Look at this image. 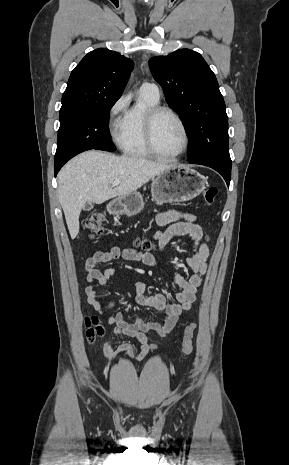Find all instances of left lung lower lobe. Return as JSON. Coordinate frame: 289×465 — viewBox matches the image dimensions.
Here are the masks:
<instances>
[{"instance_id":"obj_1","label":"left lung lower lobe","mask_w":289,"mask_h":465,"mask_svg":"<svg viewBox=\"0 0 289 465\" xmlns=\"http://www.w3.org/2000/svg\"><path fill=\"white\" fill-rule=\"evenodd\" d=\"M189 163L192 164H201L208 167L213 168L218 173H220L223 178L225 179L227 185L229 186L230 179H231V167L232 163H227L221 160L216 159H195V160H188Z\"/></svg>"}]
</instances>
